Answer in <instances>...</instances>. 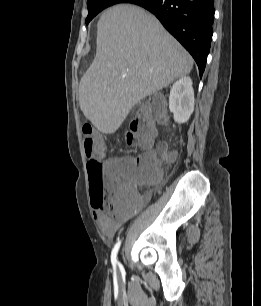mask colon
I'll return each mask as SVG.
<instances>
[{
  "label": "colon",
  "instance_id": "5ec220e1",
  "mask_svg": "<svg viewBox=\"0 0 261 306\" xmlns=\"http://www.w3.org/2000/svg\"><path fill=\"white\" fill-rule=\"evenodd\" d=\"M164 120L161 98L157 95L151 97L138 107L126 133L127 142L150 149L155 139V125ZM82 134L92 196L96 201L95 208L112 212L116 204L124 203L131 197L132 184L156 183L160 180L161 171L154 153H147L131 161L120 160L104 164L99 159L104 147L95 140L93 128L85 126ZM159 151L165 158H172L165 143L159 146Z\"/></svg>",
  "mask_w": 261,
  "mask_h": 306
}]
</instances>
